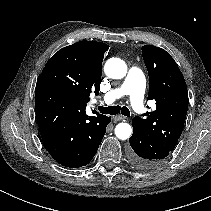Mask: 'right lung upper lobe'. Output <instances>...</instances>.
<instances>
[{
	"label": "right lung upper lobe",
	"instance_id": "obj_1",
	"mask_svg": "<svg viewBox=\"0 0 211 211\" xmlns=\"http://www.w3.org/2000/svg\"><path fill=\"white\" fill-rule=\"evenodd\" d=\"M108 49L109 46L102 42L80 41L60 49L50 59L64 62L69 75L84 92L85 102H88L91 92L99 93L103 56Z\"/></svg>",
	"mask_w": 211,
	"mask_h": 211
}]
</instances>
